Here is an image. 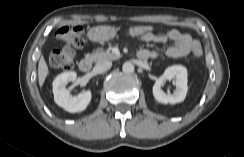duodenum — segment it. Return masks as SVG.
Returning a JSON list of instances; mask_svg holds the SVG:
<instances>
[{
	"label": "duodenum",
	"instance_id": "duodenum-1",
	"mask_svg": "<svg viewBox=\"0 0 244 157\" xmlns=\"http://www.w3.org/2000/svg\"><path fill=\"white\" fill-rule=\"evenodd\" d=\"M79 68L82 72H89L92 68V58L84 57L79 62Z\"/></svg>",
	"mask_w": 244,
	"mask_h": 157
}]
</instances>
